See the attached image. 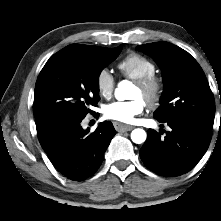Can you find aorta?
<instances>
[{"label":"aorta","instance_id":"762f6f07","mask_svg":"<svg viewBox=\"0 0 221 221\" xmlns=\"http://www.w3.org/2000/svg\"><path fill=\"white\" fill-rule=\"evenodd\" d=\"M133 85L128 80H123L118 83V87L115 89V98L119 101H123L129 98V91ZM147 137L146 132L143 129H134L131 133V139L136 144L145 142Z\"/></svg>","mask_w":221,"mask_h":221}]
</instances>
